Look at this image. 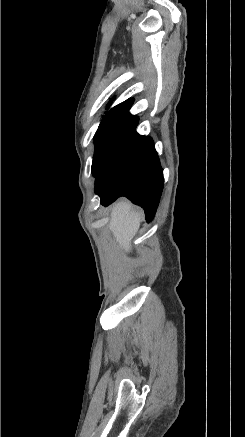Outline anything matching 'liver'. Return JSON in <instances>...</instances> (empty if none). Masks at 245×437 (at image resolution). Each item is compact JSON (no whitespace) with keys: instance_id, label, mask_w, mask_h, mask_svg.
Returning a JSON list of instances; mask_svg holds the SVG:
<instances>
[{"instance_id":"obj_1","label":"liver","mask_w":245,"mask_h":437,"mask_svg":"<svg viewBox=\"0 0 245 437\" xmlns=\"http://www.w3.org/2000/svg\"><path fill=\"white\" fill-rule=\"evenodd\" d=\"M141 223V213L132 209L129 202L117 203L111 212L109 229L125 252L131 251V241Z\"/></svg>"}]
</instances>
